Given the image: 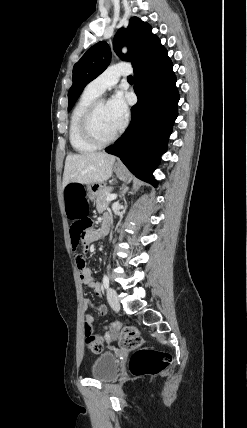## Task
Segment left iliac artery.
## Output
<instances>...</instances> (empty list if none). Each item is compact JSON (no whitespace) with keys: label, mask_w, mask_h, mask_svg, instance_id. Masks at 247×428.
Listing matches in <instances>:
<instances>
[{"label":"left iliac artery","mask_w":247,"mask_h":428,"mask_svg":"<svg viewBox=\"0 0 247 428\" xmlns=\"http://www.w3.org/2000/svg\"><path fill=\"white\" fill-rule=\"evenodd\" d=\"M103 286L106 289H108V287H109V278L107 275H104V277H103Z\"/></svg>","instance_id":"44dca946"}]
</instances>
